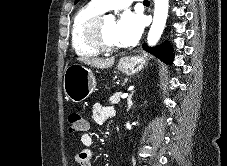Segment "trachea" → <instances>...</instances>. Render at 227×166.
<instances>
[{"label": "trachea", "mask_w": 227, "mask_h": 166, "mask_svg": "<svg viewBox=\"0 0 227 166\" xmlns=\"http://www.w3.org/2000/svg\"><path fill=\"white\" fill-rule=\"evenodd\" d=\"M143 3H144V4H149V1H148V0H146V1H144Z\"/></svg>", "instance_id": "obj_1"}]
</instances>
